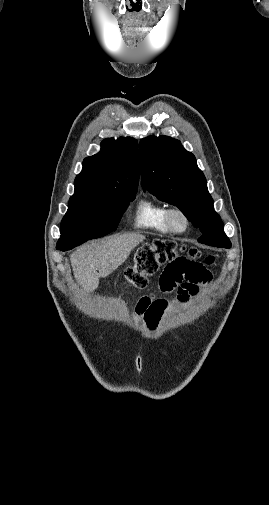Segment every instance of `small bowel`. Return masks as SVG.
<instances>
[{"instance_id":"c3829d8e","label":"small bowel","mask_w":269,"mask_h":505,"mask_svg":"<svg viewBox=\"0 0 269 505\" xmlns=\"http://www.w3.org/2000/svg\"><path fill=\"white\" fill-rule=\"evenodd\" d=\"M161 269L159 286L151 294L153 298L141 299L137 307V313H144L152 328L167 309L168 295H179V299L186 302L198 293L200 283L207 289L212 286L211 271L204 260L170 259Z\"/></svg>"}]
</instances>
